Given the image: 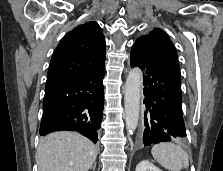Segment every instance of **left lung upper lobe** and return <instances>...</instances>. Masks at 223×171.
Returning <instances> with one entry per match:
<instances>
[{
    "instance_id": "1",
    "label": "left lung upper lobe",
    "mask_w": 223,
    "mask_h": 171,
    "mask_svg": "<svg viewBox=\"0 0 223 171\" xmlns=\"http://www.w3.org/2000/svg\"><path fill=\"white\" fill-rule=\"evenodd\" d=\"M135 43L158 54L180 72L176 49L167 34L161 29L154 28L148 34L139 37Z\"/></svg>"
}]
</instances>
